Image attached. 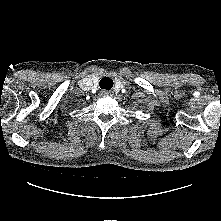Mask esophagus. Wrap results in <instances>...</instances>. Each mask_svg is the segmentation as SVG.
I'll return each mask as SVG.
<instances>
[{
    "mask_svg": "<svg viewBox=\"0 0 221 221\" xmlns=\"http://www.w3.org/2000/svg\"><path fill=\"white\" fill-rule=\"evenodd\" d=\"M102 93H103V94H106V95H108V94H109V92H108V91H102Z\"/></svg>",
    "mask_w": 221,
    "mask_h": 221,
    "instance_id": "obj_1",
    "label": "esophagus"
}]
</instances>
